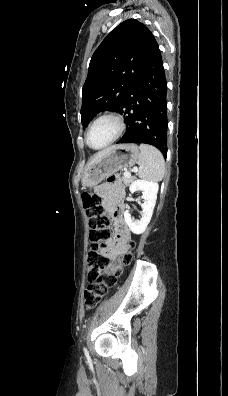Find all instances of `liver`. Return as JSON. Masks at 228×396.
<instances>
[{
    "instance_id": "6515ba94",
    "label": "liver",
    "mask_w": 228,
    "mask_h": 396,
    "mask_svg": "<svg viewBox=\"0 0 228 396\" xmlns=\"http://www.w3.org/2000/svg\"><path fill=\"white\" fill-rule=\"evenodd\" d=\"M116 146V145H115ZM115 146H111L103 151L98 152L87 164V167L91 166L92 164H94L97 160H99L100 158H102L104 155H106L107 153H109L113 148H115Z\"/></svg>"
}]
</instances>
